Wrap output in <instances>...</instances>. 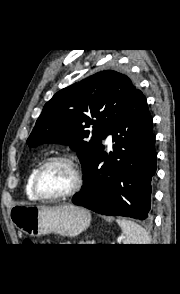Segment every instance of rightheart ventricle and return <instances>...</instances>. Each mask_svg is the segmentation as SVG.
Listing matches in <instances>:
<instances>
[{
    "label": "right heart ventricle",
    "instance_id": "e07e8e85",
    "mask_svg": "<svg viewBox=\"0 0 180 294\" xmlns=\"http://www.w3.org/2000/svg\"><path fill=\"white\" fill-rule=\"evenodd\" d=\"M37 168H38V166L35 167L34 169H32V171L29 173L27 180H26V183H25V192L28 196H31V197H36L34 194V191H33L32 184H33V177H34V174H35Z\"/></svg>",
    "mask_w": 180,
    "mask_h": 294
}]
</instances>
